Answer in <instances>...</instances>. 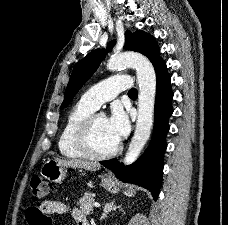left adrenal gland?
Here are the masks:
<instances>
[{
	"instance_id": "a2214340",
	"label": "left adrenal gland",
	"mask_w": 228,
	"mask_h": 225,
	"mask_svg": "<svg viewBox=\"0 0 228 225\" xmlns=\"http://www.w3.org/2000/svg\"><path fill=\"white\" fill-rule=\"evenodd\" d=\"M115 209H121V205H119V207H116L115 201H113V203H106V205L103 207V215L100 221H102V219H105V217H107L111 211H115Z\"/></svg>"
}]
</instances>
